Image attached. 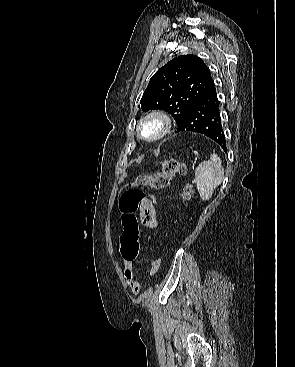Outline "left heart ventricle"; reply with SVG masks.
I'll return each mask as SVG.
<instances>
[{
    "label": "left heart ventricle",
    "instance_id": "obj_1",
    "mask_svg": "<svg viewBox=\"0 0 295 367\" xmlns=\"http://www.w3.org/2000/svg\"><path fill=\"white\" fill-rule=\"evenodd\" d=\"M158 129V125L156 123H149L143 127V133L146 136L153 135Z\"/></svg>",
    "mask_w": 295,
    "mask_h": 367
}]
</instances>
